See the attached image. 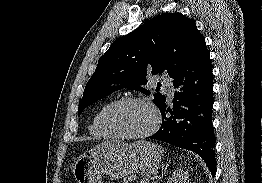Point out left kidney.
I'll return each instance as SVG.
<instances>
[{
    "label": "left kidney",
    "mask_w": 262,
    "mask_h": 183,
    "mask_svg": "<svg viewBox=\"0 0 262 183\" xmlns=\"http://www.w3.org/2000/svg\"><path fill=\"white\" fill-rule=\"evenodd\" d=\"M167 183H188L187 170H175L171 177L168 179Z\"/></svg>",
    "instance_id": "obj_1"
}]
</instances>
